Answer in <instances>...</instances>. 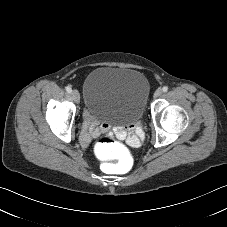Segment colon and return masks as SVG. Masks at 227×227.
<instances>
[{
    "label": "colon",
    "instance_id": "5ec220e1",
    "mask_svg": "<svg viewBox=\"0 0 227 227\" xmlns=\"http://www.w3.org/2000/svg\"><path fill=\"white\" fill-rule=\"evenodd\" d=\"M95 150L105 163L117 165L119 174H126L130 169L127 148L109 135L101 136L95 143Z\"/></svg>",
    "mask_w": 227,
    "mask_h": 227
}]
</instances>
